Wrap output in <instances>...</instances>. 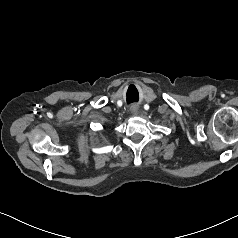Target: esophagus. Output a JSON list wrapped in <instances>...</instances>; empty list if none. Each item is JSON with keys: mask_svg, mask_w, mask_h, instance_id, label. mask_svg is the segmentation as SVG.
Here are the masks:
<instances>
[{"mask_svg": "<svg viewBox=\"0 0 238 238\" xmlns=\"http://www.w3.org/2000/svg\"><path fill=\"white\" fill-rule=\"evenodd\" d=\"M132 112H133L134 114H137V110H133Z\"/></svg>", "mask_w": 238, "mask_h": 238, "instance_id": "esophagus-1", "label": "esophagus"}]
</instances>
